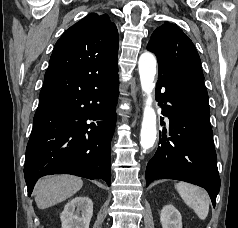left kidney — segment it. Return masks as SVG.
Masks as SVG:
<instances>
[{
  "mask_svg": "<svg viewBox=\"0 0 238 228\" xmlns=\"http://www.w3.org/2000/svg\"><path fill=\"white\" fill-rule=\"evenodd\" d=\"M162 228H182L180 212L172 205H165L160 213Z\"/></svg>",
  "mask_w": 238,
  "mask_h": 228,
  "instance_id": "1",
  "label": "left kidney"
}]
</instances>
